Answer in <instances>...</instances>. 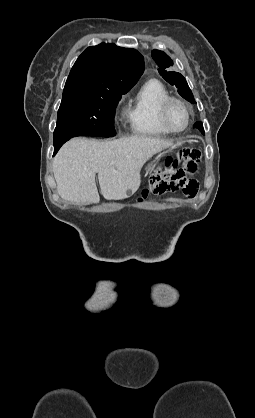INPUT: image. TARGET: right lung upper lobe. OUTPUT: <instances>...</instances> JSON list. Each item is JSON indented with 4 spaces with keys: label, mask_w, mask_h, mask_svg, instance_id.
Instances as JSON below:
<instances>
[{
    "label": "right lung upper lobe",
    "mask_w": 255,
    "mask_h": 418,
    "mask_svg": "<svg viewBox=\"0 0 255 418\" xmlns=\"http://www.w3.org/2000/svg\"><path fill=\"white\" fill-rule=\"evenodd\" d=\"M143 71L144 59L137 50L101 43L78 57L65 87L129 90Z\"/></svg>",
    "instance_id": "cb5924a9"
}]
</instances>
